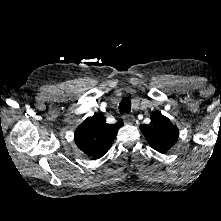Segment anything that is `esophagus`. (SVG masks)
I'll list each match as a JSON object with an SVG mask.
<instances>
[{
  "label": "esophagus",
  "instance_id": "obj_1",
  "mask_svg": "<svg viewBox=\"0 0 221 221\" xmlns=\"http://www.w3.org/2000/svg\"><path fill=\"white\" fill-rule=\"evenodd\" d=\"M123 121H124L125 124L131 125V124L134 123L135 118L132 114H125L123 116Z\"/></svg>",
  "mask_w": 221,
  "mask_h": 221
}]
</instances>
